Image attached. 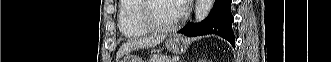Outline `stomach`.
Returning a JSON list of instances; mask_svg holds the SVG:
<instances>
[{
  "instance_id": "0dacf381",
  "label": "stomach",
  "mask_w": 331,
  "mask_h": 62,
  "mask_svg": "<svg viewBox=\"0 0 331 62\" xmlns=\"http://www.w3.org/2000/svg\"><path fill=\"white\" fill-rule=\"evenodd\" d=\"M186 45H187L186 40L179 35L170 36L169 39L166 41L167 49L174 53L184 52L186 50ZM120 62H144V61L136 57H127Z\"/></svg>"
}]
</instances>
